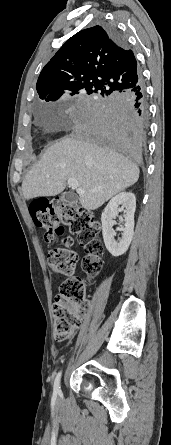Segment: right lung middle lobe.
I'll return each mask as SVG.
<instances>
[{
    "instance_id": "obj_1",
    "label": "right lung middle lobe",
    "mask_w": 171,
    "mask_h": 445,
    "mask_svg": "<svg viewBox=\"0 0 171 445\" xmlns=\"http://www.w3.org/2000/svg\"><path fill=\"white\" fill-rule=\"evenodd\" d=\"M104 96H105V95L101 93V97H98L97 99L92 98V99H91V102H92V101H95V100H98V99H101V98H103Z\"/></svg>"
}]
</instances>
